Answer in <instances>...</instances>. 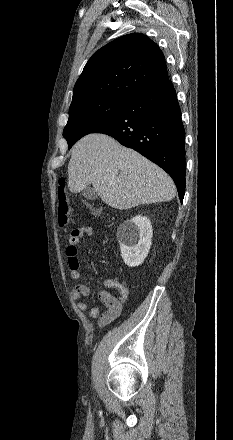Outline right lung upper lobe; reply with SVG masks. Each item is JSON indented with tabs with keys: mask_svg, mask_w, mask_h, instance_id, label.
I'll return each instance as SVG.
<instances>
[{
	"mask_svg": "<svg viewBox=\"0 0 233 440\" xmlns=\"http://www.w3.org/2000/svg\"><path fill=\"white\" fill-rule=\"evenodd\" d=\"M169 80L158 46L140 33L108 43L89 59L77 80L72 103L105 97L129 100Z\"/></svg>",
	"mask_w": 233,
	"mask_h": 440,
	"instance_id": "obj_1",
	"label": "right lung upper lobe"
}]
</instances>
